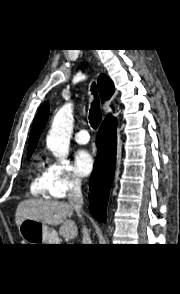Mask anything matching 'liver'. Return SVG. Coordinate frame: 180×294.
I'll return each instance as SVG.
<instances>
[{
	"label": "liver",
	"instance_id": "1",
	"mask_svg": "<svg viewBox=\"0 0 180 294\" xmlns=\"http://www.w3.org/2000/svg\"><path fill=\"white\" fill-rule=\"evenodd\" d=\"M74 208L70 204L56 200L29 199L21 201L15 213V223L19 228L25 219H31L46 225H60L59 231L65 238L73 239L78 228L71 217Z\"/></svg>",
	"mask_w": 180,
	"mask_h": 294
}]
</instances>
